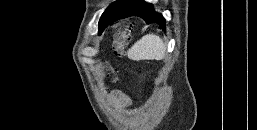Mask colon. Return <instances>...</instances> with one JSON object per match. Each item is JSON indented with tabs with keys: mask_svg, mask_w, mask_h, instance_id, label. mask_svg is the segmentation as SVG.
<instances>
[{
	"mask_svg": "<svg viewBox=\"0 0 257 130\" xmlns=\"http://www.w3.org/2000/svg\"><path fill=\"white\" fill-rule=\"evenodd\" d=\"M131 31L130 29H124L117 34L113 41V51L118 57H122L125 54V49L130 41Z\"/></svg>",
	"mask_w": 257,
	"mask_h": 130,
	"instance_id": "colon-1",
	"label": "colon"
}]
</instances>
